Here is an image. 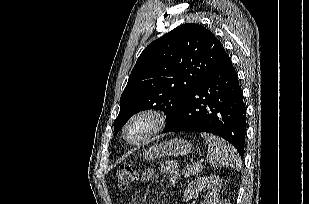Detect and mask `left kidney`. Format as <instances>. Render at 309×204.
<instances>
[{
  "instance_id": "obj_1",
  "label": "left kidney",
  "mask_w": 309,
  "mask_h": 204,
  "mask_svg": "<svg viewBox=\"0 0 309 204\" xmlns=\"http://www.w3.org/2000/svg\"><path fill=\"white\" fill-rule=\"evenodd\" d=\"M221 186L222 181L219 176L211 175L198 177L191 181V183L188 185L184 192L183 200L188 202L192 198L196 197L199 190L207 188L209 192L207 193L203 204H218Z\"/></svg>"
}]
</instances>
